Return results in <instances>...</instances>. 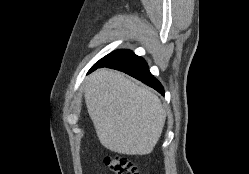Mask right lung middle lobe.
<instances>
[{"instance_id": "obj_1", "label": "right lung middle lobe", "mask_w": 249, "mask_h": 174, "mask_svg": "<svg viewBox=\"0 0 249 174\" xmlns=\"http://www.w3.org/2000/svg\"><path fill=\"white\" fill-rule=\"evenodd\" d=\"M131 52L130 50H116L112 53L106 55L104 58L99 60L98 62H113L121 59L124 55Z\"/></svg>"}]
</instances>
